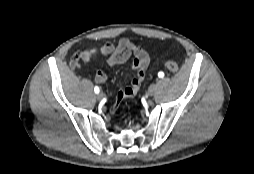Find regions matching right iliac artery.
I'll use <instances>...</instances> for the list:
<instances>
[{"label": "right iliac artery", "instance_id": "obj_1", "mask_svg": "<svg viewBox=\"0 0 254 174\" xmlns=\"http://www.w3.org/2000/svg\"><path fill=\"white\" fill-rule=\"evenodd\" d=\"M94 91H95L96 94H98L99 91H100V90H99V87H98V86H95Z\"/></svg>", "mask_w": 254, "mask_h": 174}]
</instances>
